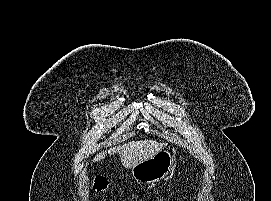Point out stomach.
Wrapping results in <instances>:
<instances>
[{"label": "stomach", "instance_id": "stomach-1", "mask_svg": "<svg viewBox=\"0 0 271 201\" xmlns=\"http://www.w3.org/2000/svg\"><path fill=\"white\" fill-rule=\"evenodd\" d=\"M174 164L173 155L162 150L153 157L141 161L131 168L133 178L141 184H152L165 178Z\"/></svg>", "mask_w": 271, "mask_h": 201}]
</instances>
